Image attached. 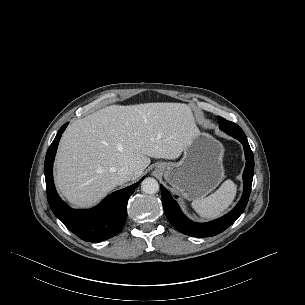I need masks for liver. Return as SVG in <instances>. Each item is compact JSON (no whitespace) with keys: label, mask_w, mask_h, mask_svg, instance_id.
Listing matches in <instances>:
<instances>
[{"label":"liver","mask_w":305,"mask_h":305,"mask_svg":"<svg viewBox=\"0 0 305 305\" xmlns=\"http://www.w3.org/2000/svg\"><path fill=\"white\" fill-rule=\"evenodd\" d=\"M199 133L183 103L107 106L73 122L56 156V186L76 207L97 203L122 185L118 171L138 179L152 158L177 159Z\"/></svg>","instance_id":"obj_1"}]
</instances>
